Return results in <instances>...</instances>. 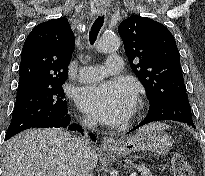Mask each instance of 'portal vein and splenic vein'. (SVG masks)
I'll use <instances>...</instances> for the list:
<instances>
[{
    "label": "portal vein and splenic vein",
    "mask_w": 205,
    "mask_h": 176,
    "mask_svg": "<svg viewBox=\"0 0 205 176\" xmlns=\"http://www.w3.org/2000/svg\"><path fill=\"white\" fill-rule=\"evenodd\" d=\"M136 174L134 173V174H132V176H135Z\"/></svg>",
    "instance_id": "1"
}]
</instances>
